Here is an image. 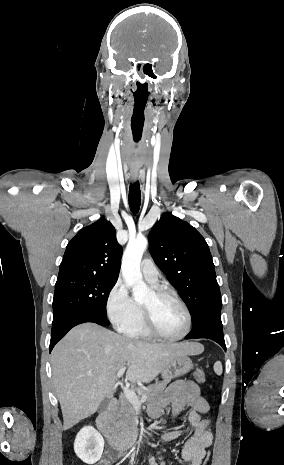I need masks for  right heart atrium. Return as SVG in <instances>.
I'll list each match as a JSON object with an SVG mask.
<instances>
[{
  "label": "right heart atrium",
  "instance_id": "d8ad5b80",
  "mask_svg": "<svg viewBox=\"0 0 284 465\" xmlns=\"http://www.w3.org/2000/svg\"><path fill=\"white\" fill-rule=\"evenodd\" d=\"M105 311L112 324L123 330L134 322L140 307L129 295L128 288L122 280H118L109 291L105 301Z\"/></svg>",
  "mask_w": 284,
  "mask_h": 465
}]
</instances>
